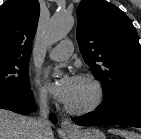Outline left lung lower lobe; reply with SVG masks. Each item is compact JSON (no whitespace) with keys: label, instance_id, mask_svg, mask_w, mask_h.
I'll list each match as a JSON object with an SVG mask.
<instances>
[{"label":"left lung lower lobe","instance_id":"left-lung-lower-lobe-1","mask_svg":"<svg viewBox=\"0 0 141 139\" xmlns=\"http://www.w3.org/2000/svg\"><path fill=\"white\" fill-rule=\"evenodd\" d=\"M72 120L80 126L116 124L141 128V88L122 91L104 100L95 111Z\"/></svg>","mask_w":141,"mask_h":139}]
</instances>
